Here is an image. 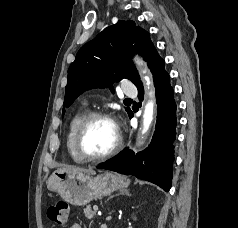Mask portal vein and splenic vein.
<instances>
[{"label":"portal vein and splenic vein","instance_id":"18ae733b","mask_svg":"<svg viewBox=\"0 0 238 228\" xmlns=\"http://www.w3.org/2000/svg\"><path fill=\"white\" fill-rule=\"evenodd\" d=\"M93 209L94 211H98V207L96 205L93 207Z\"/></svg>","mask_w":238,"mask_h":228}]
</instances>
